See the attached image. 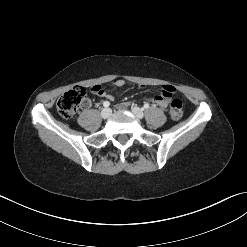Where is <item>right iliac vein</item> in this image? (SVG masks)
Listing matches in <instances>:
<instances>
[{
	"label": "right iliac vein",
	"mask_w": 247,
	"mask_h": 247,
	"mask_svg": "<svg viewBox=\"0 0 247 247\" xmlns=\"http://www.w3.org/2000/svg\"><path fill=\"white\" fill-rule=\"evenodd\" d=\"M110 115H111V110L109 108L102 109L101 111L102 118L107 119L110 117Z\"/></svg>",
	"instance_id": "obj_1"
}]
</instances>
